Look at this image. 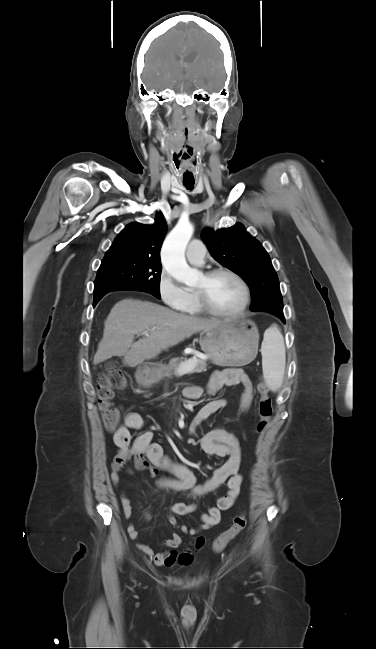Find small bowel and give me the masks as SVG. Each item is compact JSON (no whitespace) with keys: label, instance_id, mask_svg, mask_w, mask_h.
Returning <instances> with one entry per match:
<instances>
[{"label":"small bowel","instance_id":"small-bowel-1","mask_svg":"<svg viewBox=\"0 0 376 649\" xmlns=\"http://www.w3.org/2000/svg\"><path fill=\"white\" fill-rule=\"evenodd\" d=\"M237 384L244 386L241 407L246 410L252 400V383L239 368H228L214 372L208 383L207 391L215 393L223 386ZM202 393L203 390L199 386H190L184 391L188 399H198ZM225 405L226 402L222 399L208 402L199 410L191 428H195ZM143 422V418L139 413L129 412L125 416L124 424L113 435V442L118 449L110 465V479L114 486L119 485L121 472L130 460L148 469L152 476H156L160 471L168 472L171 477L160 478L156 482L157 487L162 490L189 492L192 496L199 497L216 490L225 483L228 485L227 494L218 498L217 506L210 507L207 512L200 516V524L195 528L179 525L176 518V515L182 516L194 512L196 509L194 504L179 502L172 504L169 508L168 522L183 534L192 537L190 544L197 552L204 545V537L201 533L220 522L221 510L230 508L239 494L242 483V476L238 474L242 461L240 442L234 434L224 429H213L206 433L201 439L202 449L209 455L227 457V460L222 466L214 470L208 480L202 484H197L196 477L185 464L173 461L164 455L162 446L153 441L151 431H145L135 439L132 438L130 431L141 429ZM120 503L124 516L130 519L132 517L131 501L125 493L121 494ZM127 530L130 538L138 542V548L150 556L156 565L168 567L176 563L187 565L194 558V551L189 548L178 552L177 549L183 543L182 536L179 533L172 534L170 538L163 542L162 545L167 548L166 551L154 553L151 547L140 541L139 532L132 523L128 525Z\"/></svg>","mask_w":376,"mask_h":649}]
</instances>
